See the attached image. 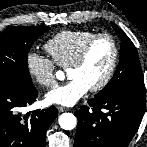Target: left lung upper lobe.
<instances>
[{
  "label": "left lung upper lobe",
  "mask_w": 147,
  "mask_h": 147,
  "mask_svg": "<svg viewBox=\"0 0 147 147\" xmlns=\"http://www.w3.org/2000/svg\"><path fill=\"white\" fill-rule=\"evenodd\" d=\"M112 26L122 40L120 63L113 78L95 96L107 98L121 93L145 96L144 77L136 48L130 38L118 26L114 23Z\"/></svg>",
  "instance_id": "obj_1"
}]
</instances>
